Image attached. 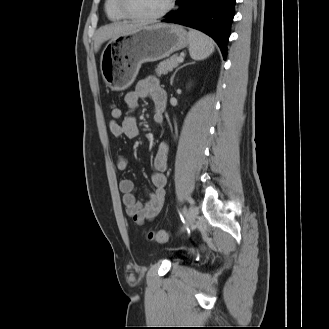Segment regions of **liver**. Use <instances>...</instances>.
<instances>
[{"instance_id": "liver-1", "label": "liver", "mask_w": 329, "mask_h": 329, "mask_svg": "<svg viewBox=\"0 0 329 329\" xmlns=\"http://www.w3.org/2000/svg\"><path fill=\"white\" fill-rule=\"evenodd\" d=\"M142 24H132V23H112L109 25L102 26L99 28L94 37V50L97 52L101 47L102 43L116 37L121 34L131 33L144 27Z\"/></svg>"}]
</instances>
